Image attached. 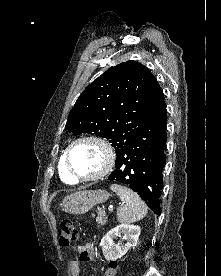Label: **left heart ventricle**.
<instances>
[{"label":"left heart ventricle","instance_id":"left-heart-ventricle-1","mask_svg":"<svg viewBox=\"0 0 221 276\" xmlns=\"http://www.w3.org/2000/svg\"><path fill=\"white\" fill-rule=\"evenodd\" d=\"M105 155L100 146L91 142L79 143L70 153L73 171L79 176H91L101 170Z\"/></svg>","mask_w":221,"mask_h":276}]
</instances>
